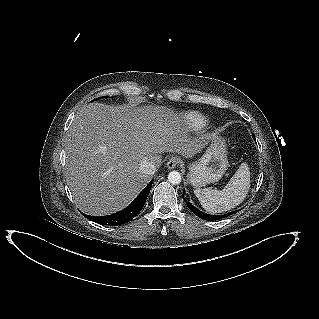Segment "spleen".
I'll use <instances>...</instances> for the list:
<instances>
[{
    "mask_svg": "<svg viewBox=\"0 0 319 319\" xmlns=\"http://www.w3.org/2000/svg\"><path fill=\"white\" fill-rule=\"evenodd\" d=\"M250 171L243 162L222 190L196 189L194 194L202 207L213 214L228 211L246 198L250 188Z\"/></svg>",
    "mask_w": 319,
    "mask_h": 319,
    "instance_id": "1",
    "label": "spleen"
}]
</instances>
